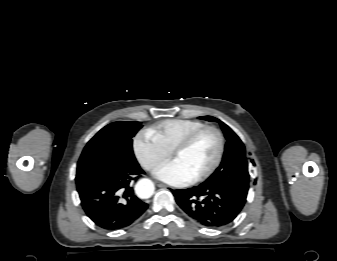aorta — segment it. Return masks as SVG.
<instances>
[{
	"label": "aorta",
	"instance_id": "762f6f07",
	"mask_svg": "<svg viewBox=\"0 0 337 261\" xmlns=\"http://www.w3.org/2000/svg\"><path fill=\"white\" fill-rule=\"evenodd\" d=\"M154 184L150 179H141L135 186V191L138 197L146 199L150 198L154 193Z\"/></svg>",
	"mask_w": 337,
	"mask_h": 261
}]
</instances>
